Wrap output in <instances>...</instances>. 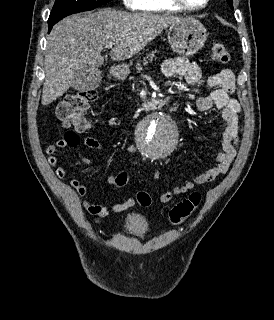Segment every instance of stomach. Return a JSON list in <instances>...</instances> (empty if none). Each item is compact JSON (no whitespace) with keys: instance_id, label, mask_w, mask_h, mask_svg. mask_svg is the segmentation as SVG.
Masks as SVG:
<instances>
[{"instance_id":"stomach-1","label":"stomach","mask_w":274,"mask_h":320,"mask_svg":"<svg viewBox=\"0 0 274 320\" xmlns=\"http://www.w3.org/2000/svg\"><path fill=\"white\" fill-rule=\"evenodd\" d=\"M207 40L206 30L195 18H180L169 26L168 42L175 54L194 56L203 48ZM116 80H124L128 74L127 66H112L109 70Z\"/></svg>"}]
</instances>
